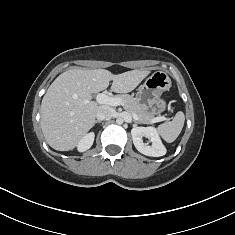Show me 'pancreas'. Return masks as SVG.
<instances>
[{
    "label": "pancreas",
    "instance_id": "obj_1",
    "mask_svg": "<svg viewBox=\"0 0 235 235\" xmlns=\"http://www.w3.org/2000/svg\"><path fill=\"white\" fill-rule=\"evenodd\" d=\"M118 98L121 99L123 108L129 113H135L138 116V123L151 124L154 115L148 112L136 98H133L130 95H118Z\"/></svg>",
    "mask_w": 235,
    "mask_h": 235
}]
</instances>
